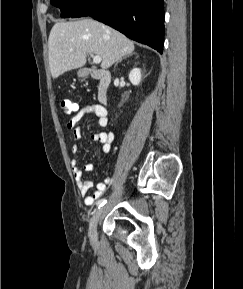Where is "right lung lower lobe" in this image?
Masks as SVG:
<instances>
[{
	"label": "right lung lower lobe",
	"instance_id": "right-lung-lower-lobe-1",
	"mask_svg": "<svg viewBox=\"0 0 243 289\" xmlns=\"http://www.w3.org/2000/svg\"><path fill=\"white\" fill-rule=\"evenodd\" d=\"M86 16L160 53L163 51V0H89L70 17Z\"/></svg>",
	"mask_w": 243,
	"mask_h": 289
}]
</instances>
